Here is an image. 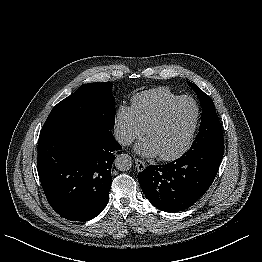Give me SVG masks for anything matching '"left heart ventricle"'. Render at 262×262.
<instances>
[{
  "instance_id": "1",
  "label": "left heart ventricle",
  "mask_w": 262,
  "mask_h": 262,
  "mask_svg": "<svg viewBox=\"0 0 262 262\" xmlns=\"http://www.w3.org/2000/svg\"><path fill=\"white\" fill-rule=\"evenodd\" d=\"M196 115V107L190 100L177 104L164 122L148 135L158 148L159 154L177 151L187 140Z\"/></svg>"
}]
</instances>
